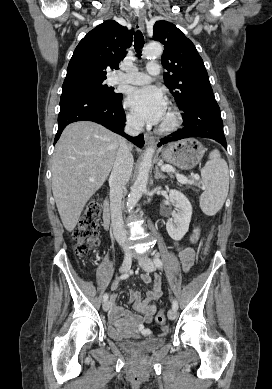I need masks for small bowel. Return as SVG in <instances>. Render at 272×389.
Instances as JSON below:
<instances>
[{
    "instance_id": "obj_1",
    "label": "small bowel",
    "mask_w": 272,
    "mask_h": 389,
    "mask_svg": "<svg viewBox=\"0 0 272 389\" xmlns=\"http://www.w3.org/2000/svg\"><path fill=\"white\" fill-rule=\"evenodd\" d=\"M200 234L199 227H195L190 235V241L195 242ZM179 258L181 261L182 268L187 272L194 262V250L191 247L187 246H177ZM141 279L145 283H150L151 278L147 274H143ZM118 287V283L112 285V290H115ZM162 295V285L161 279L158 275L154 277L153 286L147 291L146 297L141 298L140 292L136 290H131L129 293V300L133 304V308L137 313H140L142 316L134 315L129 311L125 310L122 307H119L115 304L116 295H111V318L114 321H118L121 318H126L130 323L134 324L137 327V332L133 334L134 337H139L140 335H149L151 333L148 325L152 322L153 315L156 312V306L153 304L154 301H157Z\"/></svg>"
}]
</instances>
